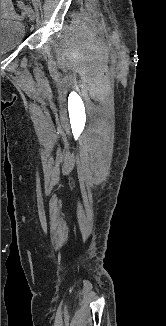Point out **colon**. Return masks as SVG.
Listing matches in <instances>:
<instances>
[{
	"label": "colon",
	"mask_w": 166,
	"mask_h": 326,
	"mask_svg": "<svg viewBox=\"0 0 166 326\" xmlns=\"http://www.w3.org/2000/svg\"><path fill=\"white\" fill-rule=\"evenodd\" d=\"M24 3L23 2H21V1H18V7L20 8V9H23L24 8Z\"/></svg>",
	"instance_id": "colon-1"
}]
</instances>
